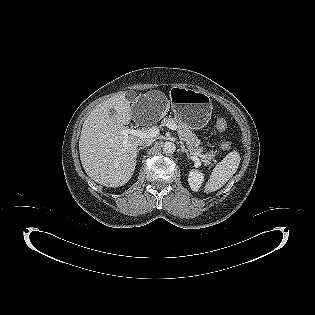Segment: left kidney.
<instances>
[{
	"mask_svg": "<svg viewBox=\"0 0 315 315\" xmlns=\"http://www.w3.org/2000/svg\"><path fill=\"white\" fill-rule=\"evenodd\" d=\"M204 181L203 173L198 170H192L188 176V182L193 191H198Z\"/></svg>",
	"mask_w": 315,
	"mask_h": 315,
	"instance_id": "5707ae66",
	"label": "left kidney"
}]
</instances>
